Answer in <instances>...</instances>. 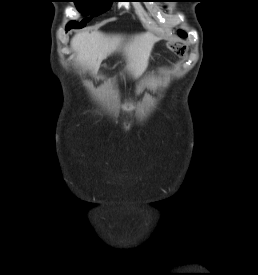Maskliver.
<instances>
[{"label": "liver", "instance_id": "6515ba94", "mask_svg": "<svg viewBox=\"0 0 258 275\" xmlns=\"http://www.w3.org/2000/svg\"><path fill=\"white\" fill-rule=\"evenodd\" d=\"M158 40L152 33L136 35L125 41L119 35H105L99 31L81 32L71 40V47L77 52V60L97 70L100 63L115 51H122L127 60V69L133 75H140L146 68L154 43Z\"/></svg>", "mask_w": 258, "mask_h": 275}]
</instances>
